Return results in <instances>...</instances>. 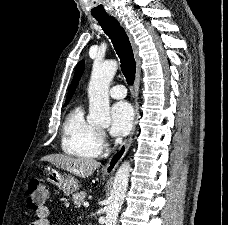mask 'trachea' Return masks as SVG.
<instances>
[{
    "label": "trachea",
    "instance_id": "trachea-1",
    "mask_svg": "<svg viewBox=\"0 0 228 225\" xmlns=\"http://www.w3.org/2000/svg\"><path fill=\"white\" fill-rule=\"evenodd\" d=\"M97 20L113 43L115 51L120 58L123 75L125 76L128 84L133 85L136 73V62L134 60V54L128 35L114 17Z\"/></svg>",
    "mask_w": 228,
    "mask_h": 225
}]
</instances>
